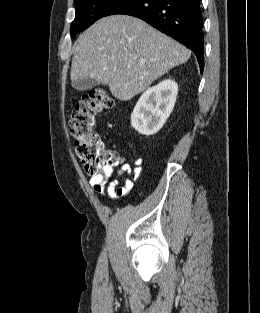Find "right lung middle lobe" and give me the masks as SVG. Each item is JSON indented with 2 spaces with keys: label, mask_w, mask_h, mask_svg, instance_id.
Masks as SVG:
<instances>
[{
  "label": "right lung middle lobe",
  "mask_w": 260,
  "mask_h": 313,
  "mask_svg": "<svg viewBox=\"0 0 260 313\" xmlns=\"http://www.w3.org/2000/svg\"><path fill=\"white\" fill-rule=\"evenodd\" d=\"M76 4L75 19L71 24L70 31L74 37L77 33L85 30L104 14L118 0H74Z\"/></svg>",
  "instance_id": "dd1d6c3e"
}]
</instances>
